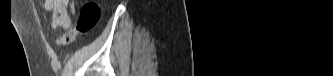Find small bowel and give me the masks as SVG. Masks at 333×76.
<instances>
[{
	"label": "small bowel",
	"mask_w": 333,
	"mask_h": 76,
	"mask_svg": "<svg viewBox=\"0 0 333 76\" xmlns=\"http://www.w3.org/2000/svg\"><path fill=\"white\" fill-rule=\"evenodd\" d=\"M44 6L51 14L53 29L69 30L71 28L69 0H46Z\"/></svg>",
	"instance_id": "c3829d8e"
}]
</instances>
